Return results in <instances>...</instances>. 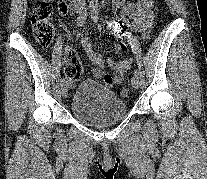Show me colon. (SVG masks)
<instances>
[{"instance_id": "obj_1", "label": "colon", "mask_w": 207, "mask_h": 179, "mask_svg": "<svg viewBox=\"0 0 207 179\" xmlns=\"http://www.w3.org/2000/svg\"><path fill=\"white\" fill-rule=\"evenodd\" d=\"M53 5L51 0H42L32 11L31 24L33 34L40 46L47 48L51 45L54 28L52 25ZM83 74V68L75 53L68 51L65 56L64 75L69 81H78ZM117 94L126 97L129 94L127 88L117 91Z\"/></svg>"}]
</instances>
